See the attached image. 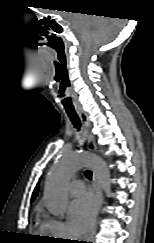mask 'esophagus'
Wrapping results in <instances>:
<instances>
[{
	"label": "esophagus",
	"instance_id": "esophagus-1",
	"mask_svg": "<svg viewBox=\"0 0 154 243\" xmlns=\"http://www.w3.org/2000/svg\"><path fill=\"white\" fill-rule=\"evenodd\" d=\"M77 112H78V114H79V116L81 118L82 123L84 124V126L87 129V131L89 132L87 148H88V150H91V151L92 150H96V144H95L94 136L89 131L90 130V122H89L88 116L82 110H77ZM92 178H93V190H94L95 199H96V217H95V221H94V225H93L92 231L87 236L88 242H91L93 240L94 235H95V233L97 231L99 214H100L101 207H102V204H103V199H102V193H101L100 185H99L97 176H96L94 171H93V177Z\"/></svg>",
	"mask_w": 154,
	"mask_h": 243
}]
</instances>
